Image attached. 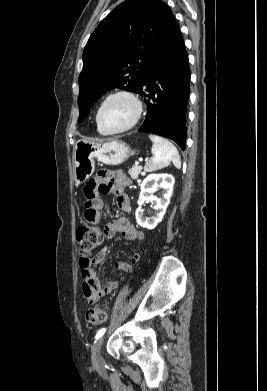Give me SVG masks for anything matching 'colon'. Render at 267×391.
<instances>
[{"label":"colon","instance_id":"5ec220e1","mask_svg":"<svg viewBox=\"0 0 267 391\" xmlns=\"http://www.w3.org/2000/svg\"><path fill=\"white\" fill-rule=\"evenodd\" d=\"M102 238L103 231L94 225L83 224L76 230V239L83 256L90 255L100 245ZM107 316L106 309L96 306L87 310L85 320L88 325L94 326L104 323Z\"/></svg>","mask_w":267,"mask_h":391}]
</instances>
